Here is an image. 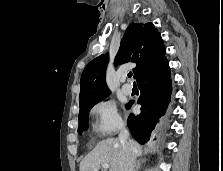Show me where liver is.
<instances>
[{"label":"liver","mask_w":223,"mask_h":171,"mask_svg":"<svg viewBox=\"0 0 223 171\" xmlns=\"http://www.w3.org/2000/svg\"><path fill=\"white\" fill-rule=\"evenodd\" d=\"M135 148V155L142 154V147L135 141L130 140ZM125 151L119 139L107 138L97 146L80 162V171H94L102 164H109V171H124Z\"/></svg>","instance_id":"6515ba94"}]
</instances>
